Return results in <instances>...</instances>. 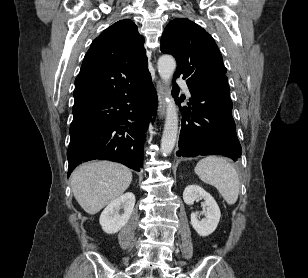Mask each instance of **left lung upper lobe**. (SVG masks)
Returning a JSON list of instances; mask_svg holds the SVG:
<instances>
[{"mask_svg":"<svg viewBox=\"0 0 308 278\" xmlns=\"http://www.w3.org/2000/svg\"><path fill=\"white\" fill-rule=\"evenodd\" d=\"M161 51L175 57L174 78L182 77L188 87L226 76L227 69L214 39L189 19L169 22L161 37Z\"/></svg>","mask_w":308,"mask_h":278,"instance_id":"obj_1","label":"left lung upper lobe"}]
</instances>
